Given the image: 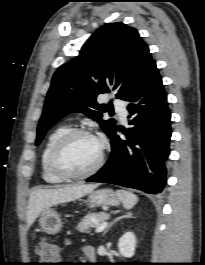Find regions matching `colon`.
Returning a JSON list of instances; mask_svg holds the SVG:
<instances>
[{"instance_id": "obj_1", "label": "colon", "mask_w": 205, "mask_h": 265, "mask_svg": "<svg viewBox=\"0 0 205 265\" xmlns=\"http://www.w3.org/2000/svg\"><path fill=\"white\" fill-rule=\"evenodd\" d=\"M39 265H56L60 258L59 248L48 240H41L35 249Z\"/></svg>"}]
</instances>
